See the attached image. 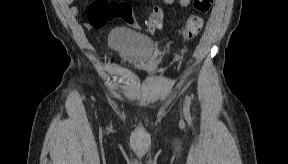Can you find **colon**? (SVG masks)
I'll return each mask as SVG.
<instances>
[{"mask_svg": "<svg viewBox=\"0 0 288 164\" xmlns=\"http://www.w3.org/2000/svg\"><path fill=\"white\" fill-rule=\"evenodd\" d=\"M211 0H195L193 3L194 12L188 17L186 23L180 31V37L184 40L195 38L203 27V18L201 14L206 13L211 7ZM127 20L129 25L137 28L138 25H133L135 16L128 4L124 1L116 2L111 0H95L91 3L87 13L88 22L96 28L104 27L108 22L115 18ZM146 31L155 33L163 28L164 12L159 6L154 7L145 22Z\"/></svg>", "mask_w": 288, "mask_h": 164, "instance_id": "5ec220e1", "label": "colon"}]
</instances>
